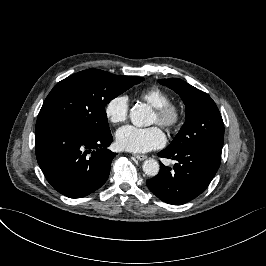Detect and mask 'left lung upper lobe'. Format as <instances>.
I'll return each mask as SVG.
<instances>
[{"mask_svg": "<svg viewBox=\"0 0 266 266\" xmlns=\"http://www.w3.org/2000/svg\"><path fill=\"white\" fill-rule=\"evenodd\" d=\"M158 82L173 89L186 105V122L167 149L178 151L200 143L223 146V120L207 93L179 78L159 79Z\"/></svg>", "mask_w": 266, "mask_h": 266, "instance_id": "5c2ea615", "label": "left lung upper lobe"}]
</instances>
